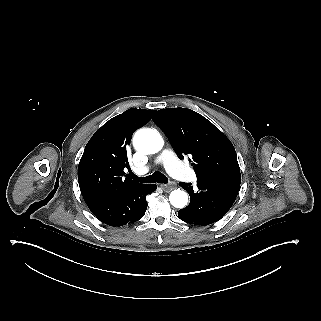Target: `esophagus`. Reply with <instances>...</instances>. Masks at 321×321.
<instances>
[{
	"instance_id": "esophagus-1",
	"label": "esophagus",
	"mask_w": 321,
	"mask_h": 321,
	"mask_svg": "<svg viewBox=\"0 0 321 321\" xmlns=\"http://www.w3.org/2000/svg\"><path fill=\"white\" fill-rule=\"evenodd\" d=\"M174 187H175V184H173V183L161 185L162 190L166 193H169L170 191H172L174 189Z\"/></svg>"
}]
</instances>
